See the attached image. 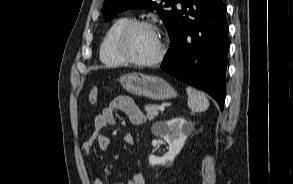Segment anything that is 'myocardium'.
<instances>
[{
  "label": "myocardium",
  "instance_id": "f54148a6",
  "mask_svg": "<svg viewBox=\"0 0 293 184\" xmlns=\"http://www.w3.org/2000/svg\"><path fill=\"white\" fill-rule=\"evenodd\" d=\"M145 27L152 30L158 37L159 50L157 55L150 60H137L132 58L125 50L128 35L136 28ZM117 55L125 62L141 67H150L159 64L165 57L167 46L161 30L152 22L146 20H133L127 23L117 34L114 42Z\"/></svg>",
  "mask_w": 293,
  "mask_h": 184
}]
</instances>
